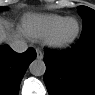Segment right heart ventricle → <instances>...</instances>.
<instances>
[{"label":"right heart ventricle","mask_w":95,"mask_h":95,"mask_svg":"<svg viewBox=\"0 0 95 95\" xmlns=\"http://www.w3.org/2000/svg\"><path fill=\"white\" fill-rule=\"evenodd\" d=\"M65 18L57 14H27L22 20V28L28 37L44 40Z\"/></svg>","instance_id":"obj_1"}]
</instances>
